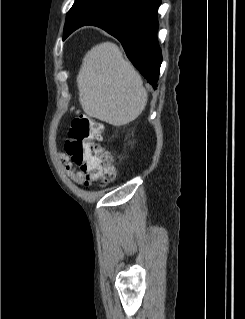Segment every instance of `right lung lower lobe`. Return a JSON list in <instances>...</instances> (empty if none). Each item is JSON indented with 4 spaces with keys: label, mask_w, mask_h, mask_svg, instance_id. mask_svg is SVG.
<instances>
[{
    "label": "right lung lower lobe",
    "mask_w": 245,
    "mask_h": 319,
    "mask_svg": "<svg viewBox=\"0 0 245 319\" xmlns=\"http://www.w3.org/2000/svg\"><path fill=\"white\" fill-rule=\"evenodd\" d=\"M161 0H129L86 25L98 26L122 44L133 65L155 87L160 65L161 50L157 40V10Z\"/></svg>",
    "instance_id": "1"
}]
</instances>
